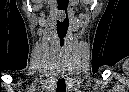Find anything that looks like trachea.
<instances>
[{
    "instance_id": "trachea-1",
    "label": "trachea",
    "mask_w": 129,
    "mask_h": 92,
    "mask_svg": "<svg viewBox=\"0 0 129 92\" xmlns=\"http://www.w3.org/2000/svg\"><path fill=\"white\" fill-rule=\"evenodd\" d=\"M57 92H66L65 79L63 77L59 78L57 81Z\"/></svg>"
}]
</instances>
